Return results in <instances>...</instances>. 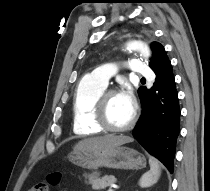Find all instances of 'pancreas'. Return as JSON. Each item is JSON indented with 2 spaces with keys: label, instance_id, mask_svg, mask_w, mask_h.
<instances>
[{
  "label": "pancreas",
  "instance_id": "1",
  "mask_svg": "<svg viewBox=\"0 0 210 191\" xmlns=\"http://www.w3.org/2000/svg\"><path fill=\"white\" fill-rule=\"evenodd\" d=\"M85 179L86 183L91 184L92 189L94 190L105 189L116 182V178L112 175H105L102 178H99L97 173L87 174L85 175Z\"/></svg>",
  "mask_w": 210,
  "mask_h": 191
}]
</instances>
